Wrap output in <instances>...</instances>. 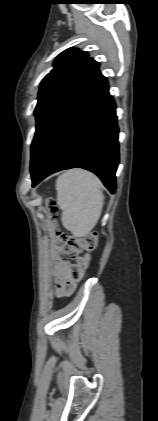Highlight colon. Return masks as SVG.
<instances>
[{"label":"colon","instance_id":"1","mask_svg":"<svg viewBox=\"0 0 158 421\" xmlns=\"http://www.w3.org/2000/svg\"><path fill=\"white\" fill-rule=\"evenodd\" d=\"M47 206L51 214L55 217L57 213L55 202L49 199L47 201ZM54 242L59 248L60 260L69 263L71 260L75 259L81 251H92L97 244V235L96 233H92L82 237L71 236L60 231L58 226H55ZM89 262L90 256L85 255L83 257L77 258L75 263L70 264L68 279L65 285V290L67 293H72L75 290L77 284L83 279Z\"/></svg>","mask_w":158,"mask_h":421}]
</instances>
